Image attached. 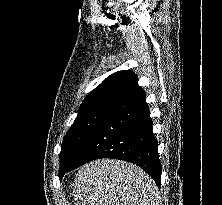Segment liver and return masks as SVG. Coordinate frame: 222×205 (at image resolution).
I'll return each mask as SVG.
<instances>
[{
    "label": "liver",
    "mask_w": 222,
    "mask_h": 205,
    "mask_svg": "<svg viewBox=\"0 0 222 205\" xmlns=\"http://www.w3.org/2000/svg\"><path fill=\"white\" fill-rule=\"evenodd\" d=\"M73 195L74 205H159L158 187L143 169L112 159L82 166Z\"/></svg>",
    "instance_id": "6515ba94"
}]
</instances>
